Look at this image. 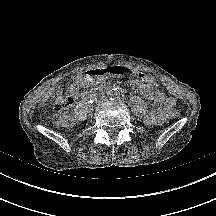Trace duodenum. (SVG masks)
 <instances>
[{"instance_id":"410a0bca","label":"duodenum","mask_w":216,"mask_h":216,"mask_svg":"<svg viewBox=\"0 0 216 216\" xmlns=\"http://www.w3.org/2000/svg\"><path fill=\"white\" fill-rule=\"evenodd\" d=\"M108 90H109L108 87H103V88H101V89H100L99 91H97V92H87V93H85V94L83 95V98H84V99H90V98L95 97V96H97L98 94H101V93L106 92V91H108Z\"/></svg>"}]
</instances>
